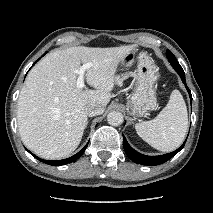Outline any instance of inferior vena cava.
Listing matches in <instances>:
<instances>
[{"label":"inferior vena cava","instance_id":"602c4592","mask_svg":"<svg viewBox=\"0 0 213 213\" xmlns=\"http://www.w3.org/2000/svg\"><path fill=\"white\" fill-rule=\"evenodd\" d=\"M104 110L105 108L97 103H90L85 108L86 114L90 117L100 115L104 112Z\"/></svg>","mask_w":213,"mask_h":213}]
</instances>
